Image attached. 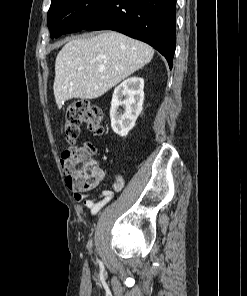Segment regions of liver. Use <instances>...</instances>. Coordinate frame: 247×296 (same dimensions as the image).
<instances>
[{
  "label": "liver",
  "mask_w": 247,
  "mask_h": 296,
  "mask_svg": "<svg viewBox=\"0 0 247 296\" xmlns=\"http://www.w3.org/2000/svg\"><path fill=\"white\" fill-rule=\"evenodd\" d=\"M153 55L148 44L115 31L69 41L55 61L53 90L58 108L69 99L102 96Z\"/></svg>",
  "instance_id": "1"
}]
</instances>
